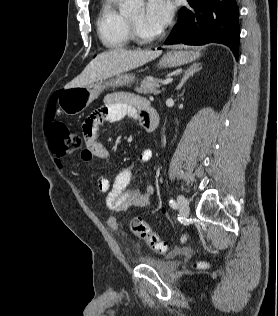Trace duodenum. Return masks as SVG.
<instances>
[{"mask_svg": "<svg viewBox=\"0 0 278 316\" xmlns=\"http://www.w3.org/2000/svg\"><path fill=\"white\" fill-rule=\"evenodd\" d=\"M160 122L159 113L153 107H148L142 115V126L147 132L157 129Z\"/></svg>", "mask_w": 278, "mask_h": 316, "instance_id": "obj_1", "label": "duodenum"}]
</instances>
